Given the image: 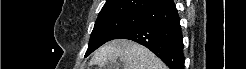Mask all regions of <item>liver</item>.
<instances>
[{
    "mask_svg": "<svg viewBox=\"0 0 246 69\" xmlns=\"http://www.w3.org/2000/svg\"><path fill=\"white\" fill-rule=\"evenodd\" d=\"M122 63L123 69H166L164 63L146 47L133 41L115 39L100 47L91 63L106 69L113 64Z\"/></svg>",
    "mask_w": 246,
    "mask_h": 69,
    "instance_id": "6515ba94",
    "label": "liver"
}]
</instances>
